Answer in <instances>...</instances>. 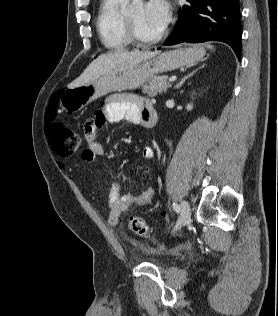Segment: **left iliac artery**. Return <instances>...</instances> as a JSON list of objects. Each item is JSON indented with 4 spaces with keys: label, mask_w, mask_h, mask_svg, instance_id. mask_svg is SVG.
I'll return each mask as SVG.
<instances>
[{
    "label": "left iliac artery",
    "mask_w": 278,
    "mask_h": 316,
    "mask_svg": "<svg viewBox=\"0 0 278 316\" xmlns=\"http://www.w3.org/2000/svg\"><path fill=\"white\" fill-rule=\"evenodd\" d=\"M173 209H174V211L177 212V213H179V211H180V207H179V205L176 204V203H173Z\"/></svg>",
    "instance_id": "1"
}]
</instances>
